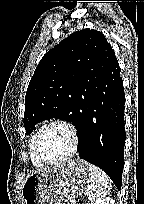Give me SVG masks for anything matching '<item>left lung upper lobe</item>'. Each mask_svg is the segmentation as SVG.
<instances>
[{
    "mask_svg": "<svg viewBox=\"0 0 144 204\" xmlns=\"http://www.w3.org/2000/svg\"><path fill=\"white\" fill-rule=\"evenodd\" d=\"M115 57L105 36L91 29L76 31L50 49L36 67L26 92V134L50 118L71 122L79 133L97 69Z\"/></svg>",
    "mask_w": 144,
    "mask_h": 204,
    "instance_id": "left-lung-upper-lobe-1",
    "label": "left lung upper lobe"
}]
</instances>
